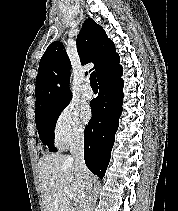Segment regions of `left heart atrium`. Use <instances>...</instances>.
Returning <instances> with one entry per match:
<instances>
[{
	"label": "left heart atrium",
	"instance_id": "1",
	"mask_svg": "<svg viewBox=\"0 0 178 211\" xmlns=\"http://www.w3.org/2000/svg\"><path fill=\"white\" fill-rule=\"evenodd\" d=\"M92 117V111L89 107H86L83 111L84 120L88 121Z\"/></svg>",
	"mask_w": 178,
	"mask_h": 211
}]
</instances>
